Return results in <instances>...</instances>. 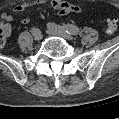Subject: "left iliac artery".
<instances>
[{"instance_id":"obj_1","label":"left iliac artery","mask_w":119,"mask_h":119,"mask_svg":"<svg viewBox=\"0 0 119 119\" xmlns=\"http://www.w3.org/2000/svg\"><path fill=\"white\" fill-rule=\"evenodd\" d=\"M49 27H52V28H55V29H60V30H64L66 31L67 33L69 34H72V35H78L79 34V28L75 25H72V24H67V25H64V26H58L54 23H49L48 25Z\"/></svg>"}]
</instances>
